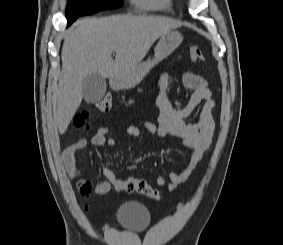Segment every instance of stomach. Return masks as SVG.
<instances>
[{"mask_svg": "<svg viewBox=\"0 0 283 245\" xmlns=\"http://www.w3.org/2000/svg\"><path fill=\"white\" fill-rule=\"evenodd\" d=\"M180 33L169 31L161 36L154 50V58L138 63L134 68L112 78L118 89H130L138 85L149 71L160 61L168 57L182 42Z\"/></svg>", "mask_w": 283, "mask_h": 245, "instance_id": "obj_1", "label": "stomach"}]
</instances>
